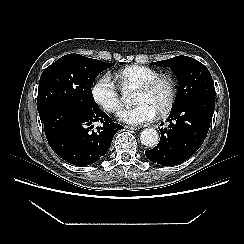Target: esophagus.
Returning <instances> with one entry per match:
<instances>
[{"label":"esophagus","mask_w":244,"mask_h":244,"mask_svg":"<svg viewBox=\"0 0 244 244\" xmlns=\"http://www.w3.org/2000/svg\"><path fill=\"white\" fill-rule=\"evenodd\" d=\"M126 129H129V130H138L139 128L138 127H135V126H125Z\"/></svg>","instance_id":"34e87169"}]
</instances>
